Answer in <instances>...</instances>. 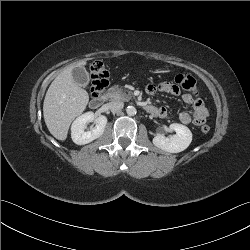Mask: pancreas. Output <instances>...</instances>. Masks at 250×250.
Here are the masks:
<instances>
[{
	"label": "pancreas",
	"mask_w": 250,
	"mask_h": 250,
	"mask_svg": "<svg viewBox=\"0 0 250 250\" xmlns=\"http://www.w3.org/2000/svg\"><path fill=\"white\" fill-rule=\"evenodd\" d=\"M107 96L112 101H129L132 97V94L130 91H125L121 89L118 85H114L108 90Z\"/></svg>",
	"instance_id": "cf45deb5"
}]
</instances>
